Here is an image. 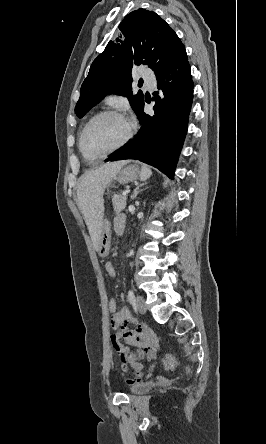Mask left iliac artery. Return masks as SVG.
Returning a JSON list of instances; mask_svg holds the SVG:
<instances>
[{
	"label": "left iliac artery",
	"mask_w": 266,
	"mask_h": 444,
	"mask_svg": "<svg viewBox=\"0 0 266 444\" xmlns=\"http://www.w3.org/2000/svg\"><path fill=\"white\" fill-rule=\"evenodd\" d=\"M128 300L131 304L135 303V295L134 292L132 290L128 291Z\"/></svg>",
	"instance_id": "1"
}]
</instances>
